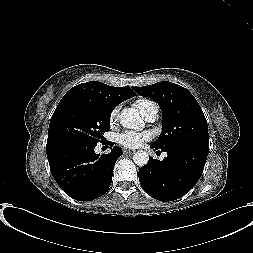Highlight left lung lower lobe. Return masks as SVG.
<instances>
[{
    "label": "left lung lower lobe",
    "mask_w": 253,
    "mask_h": 253,
    "mask_svg": "<svg viewBox=\"0 0 253 253\" xmlns=\"http://www.w3.org/2000/svg\"><path fill=\"white\" fill-rule=\"evenodd\" d=\"M154 150L155 146L151 144ZM168 156L163 161L150 157L138 172L144 191L160 201H173L184 196L200 179L209 149L177 144L165 149Z\"/></svg>",
    "instance_id": "0a47b994"
}]
</instances>
